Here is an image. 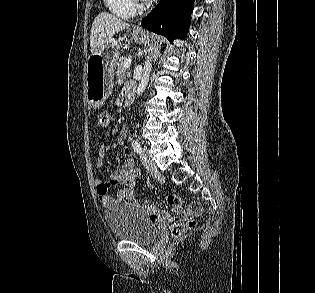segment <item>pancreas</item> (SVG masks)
<instances>
[{
	"mask_svg": "<svg viewBox=\"0 0 315 293\" xmlns=\"http://www.w3.org/2000/svg\"><path fill=\"white\" fill-rule=\"evenodd\" d=\"M127 59L126 58H119L118 60V67L116 71L117 83H123L127 72V69L124 67V63Z\"/></svg>",
	"mask_w": 315,
	"mask_h": 293,
	"instance_id": "pancreas-1",
	"label": "pancreas"
}]
</instances>
